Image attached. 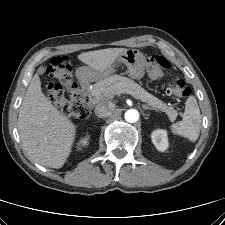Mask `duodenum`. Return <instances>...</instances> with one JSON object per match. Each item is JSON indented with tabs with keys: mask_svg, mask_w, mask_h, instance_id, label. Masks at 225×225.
<instances>
[{
	"mask_svg": "<svg viewBox=\"0 0 225 225\" xmlns=\"http://www.w3.org/2000/svg\"><path fill=\"white\" fill-rule=\"evenodd\" d=\"M80 87L82 88L83 90V97L84 99L86 100V102L88 103L89 106H92L93 105V100H92V97L89 93V87L90 85L86 82H80Z\"/></svg>",
	"mask_w": 225,
	"mask_h": 225,
	"instance_id": "duodenum-1",
	"label": "duodenum"
}]
</instances>
